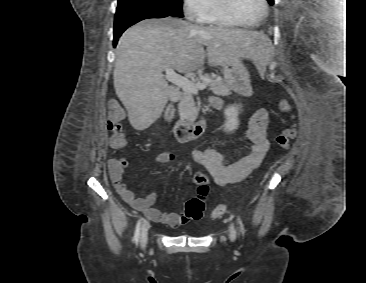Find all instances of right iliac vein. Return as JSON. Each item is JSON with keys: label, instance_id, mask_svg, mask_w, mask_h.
<instances>
[{"label": "right iliac vein", "instance_id": "63e3f726", "mask_svg": "<svg viewBox=\"0 0 366 283\" xmlns=\"http://www.w3.org/2000/svg\"><path fill=\"white\" fill-rule=\"evenodd\" d=\"M148 229H149V223L147 221L144 222L142 229H141V247H145L147 244L148 239Z\"/></svg>", "mask_w": 366, "mask_h": 283}]
</instances>
